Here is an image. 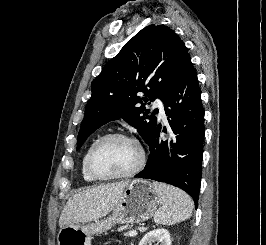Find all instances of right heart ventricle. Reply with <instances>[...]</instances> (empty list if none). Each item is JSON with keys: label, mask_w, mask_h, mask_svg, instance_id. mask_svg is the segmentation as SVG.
Returning a JSON list of instances; mask_svg holds the SVG:
<instances>
[{"label": "right heart ventricle", "mask_w": 266, "mask_h": 245, "mask_svg": "<svg viewBox=\"0 0 266 245\" xmlns=\"http://www.w3.org/2000/svg\"><path fill=\"white\" fill-rule=\"evenodd\" d=\"M97 139H94L87 147V149L85 150L83 157L81 159V166H80V171H81V177L82 179L87 182V183H95L97 182L96 179H94L88 172L87 170V153L89 148L91 147V145L96 141Z\"/></svg>", "instance_id": "obj_1"}]
</instances>
